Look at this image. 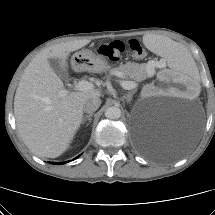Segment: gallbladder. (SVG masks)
Listing matches in <instances>:
<instances>
[{
    "instance_id": "gallbladder-1",
    "label": "gallbladder",
    "mask_w": 215,
    "mask_h": 215,
    "mask_svg": "<svg viewBox=\"0 0 215 215\" xmlns=\"http://www.w3.org/2000/svg\"><path fill=\"white\" fill-rule=\"evenodd\" d=\"M48 62L50 64V66L52 67V69L54 70V72L61 77L62 79H68V73L67 70L64 66H62V62L60 59H56V58H50L48 59Z\"/></svg>"
}]
</instances>
